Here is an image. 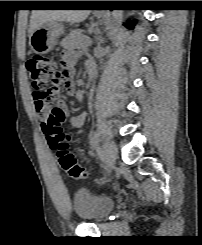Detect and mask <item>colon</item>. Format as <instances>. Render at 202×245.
I'll use <instances>...</instances> for the list:
<instances>
[{
    "instance_id": "obj_1",
    "label": "colon",
    "mask_w": 202,
    "mask_h": 245,
    "mask_svg": "<svg viewBox=\"0 0 202 245\" xmlns=\"http://www.w3.org/2000/svg\"><path fill=\"white\" fill-rule=\"evenodd\" d=\"M30 81L36 90V104L43 106L48 113L44 131L50 138L51 148L60 169L73 179H87L89 174L85 167L78 163L70 150V136L64 132V117L54 108V102L60 94L61 84L68 78L69 71L62 62L55 59L34 56L27 65Z\"/></svg>"
}]
</instances>
